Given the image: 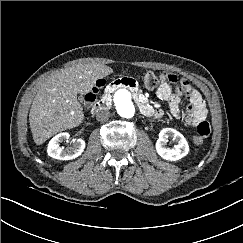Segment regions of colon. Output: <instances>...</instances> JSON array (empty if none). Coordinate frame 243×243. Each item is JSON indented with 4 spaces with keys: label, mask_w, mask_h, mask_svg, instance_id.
I'll list each match as a JSON object with an SVG mask.
<instances>
[{
    "label": "colon",
    "mask_w": 243,
    "mask_h": 243,
    "mask_svg": "<svg viewBox=\"0 0 243 243\" xmlns=\"http://www.w3.org/2000/svg\"><path fill=\"white\" fill-rule=\"evenodd\" d=\"M164 81L163 75H158L154 72H146L143 76V83L146 88L154 89L158 87ZM103 86V81L99 80L96 86L86 95V100L92 102L95 99L96 93ZM204 141V137L201 135H195L193 137V143L196 145H201Z\"/></svg>",
    "instance_id": "obj_1"
}]
</instances>
